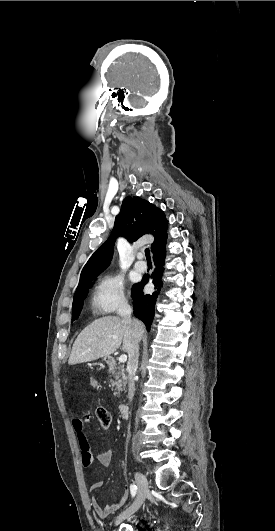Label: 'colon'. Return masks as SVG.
I'll use <instances>...</instances> for the list:
<instances>
[{
	"label": "colon",
	"instance_id": "colon-1",
	"mask_svg": "<svg viewBox=\"0 0 275 531\" xmlns=\"http://www.w3.org/2000/svg\"><path fill=\"white\" fill-rule=\"evenodd\" d=\"M97 419L102 428H109L111 425V418L109 412L103 408H97Z\"/></svg>",
	"mask_w": 275,
	"mask_h": 531
}]
</instances>
